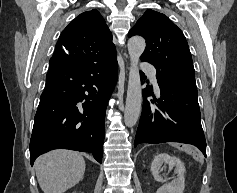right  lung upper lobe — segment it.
<instances>
[{"mask_svg":"<svg viewBox=\"0 0 237 193\" xmlns=\"http://www.w3.org/2000/svg\"><path fill=\"white\" fill-rule=\"evenodd\" d=\"M116 57L112 34L96 10L83 12L61 33L50 62L75 68L105 63Z\"/></svg>","mask_w":237,"mask_h":193,"instance_id":"cb5924a9","label":"right lung upper lobe"}]
</instances>
